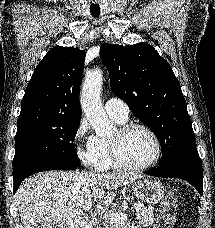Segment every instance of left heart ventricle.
<instances>
[{"mask_svg": "<svg viewBox=\"0 0 215 228\" xmlns=\"http://www.w3.org/2000/svg\"><path fill=\"white\" fill-rule=\"evenodd\" d=\"M117 136V132L112 138ZM119 154L128 165L137 166L147 162L154 154L150 136L142 129L135 128L119 140Z\"/></svg>", "mask_w": 215, "mask_h": 228, "instance_id": "obj_1", "label": "left heart ventricle"}]
</instances>
